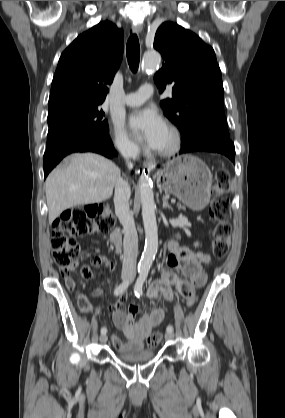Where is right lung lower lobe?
I'll return each instance as SVG.
<instances>
[{
    "label": "right lung lower lobe",
    "mask_w": 285,
    "mask_h": 418,
    "mask_svg": "<svg viewBox=\"0 0 285 418\" xmlns=\"http://www.w3.org/2000/svg\"><path fill=\"white\" fill-rule=\"evenodd\" d=\"M72 152H95L108 158L117 155L109 136L75 135L66 138L50 148H47L44 157V177Z\"/></svg>",
    "instance_id": "right-lung-lower-lobe-1"
}]
</instances>
